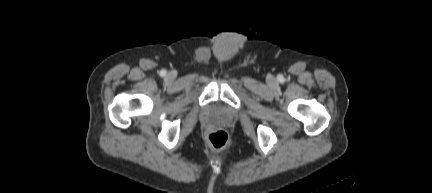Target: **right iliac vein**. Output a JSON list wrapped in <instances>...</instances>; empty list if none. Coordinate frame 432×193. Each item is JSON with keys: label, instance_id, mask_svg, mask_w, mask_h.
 <instances>
[{"label": "right iliac vein", "instance_id": "1", "mask_svg": "<svg viewBox=\"0 0 432 193\" xmlns=\"http://www.w3.org/2000/svg\"><path fill=\"white\" fill-rule=\"evenodd\" d=\"M167 78H168L169 80L174 79V74H173V73H168V74H167Z\"/></svg>", "mask_w": 432, "mask_h": 193}]
</instances>
